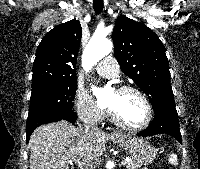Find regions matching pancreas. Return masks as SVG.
I'll return each mask as SVG.
<instances>
[{"label":"pancreas","instance_id":"1","mask_svg":"<svg viewBox=\"0 0 200 169\" xmlns=\"http://www.w3.org/2000/svg\"><path fill=\"white\" fill-rule=\"evenodd\" d=\"M138 165L133 161V160H130L128 163H127V168L128 169H138Z\"/></svg>","mask_w":200,"mask_h":169}]
</instances>
